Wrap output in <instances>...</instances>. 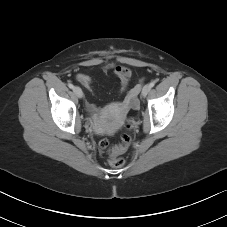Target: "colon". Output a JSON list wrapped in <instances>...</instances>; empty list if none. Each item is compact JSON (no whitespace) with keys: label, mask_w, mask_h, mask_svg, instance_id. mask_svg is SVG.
I'll list each match as a JSON object with an SVG mask.
<instances>
[{"label":"colon","mask_w":227,"mask_h":227,"mask_svg":"<svg viewBox=\"0 0 227 227\" xmlns=\"http://www.w3.org/2000/svg\"><path fill=\"white\" fill-rule=\"evenodd\" d=\"M132 140L131 127L127 126L126 131L121 136V142L109 148V142L106 139H102L99 142V146L102 149H108L110 152L109 164L112 167L119 168L125 164V160L119 155L126 151Z\"/></svg>","instance_id":"colon-1"}]
</instances>
